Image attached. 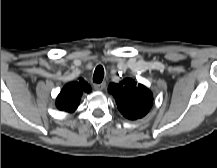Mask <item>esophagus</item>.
Wrapping results in <instances>:
<instances>
[{
    "label": "esophagus",
    "instance_id": "obj_1",
    "mask_svg": "<svg viewBox=\"0 0 217 168\" xmlns=\"http://www.w3.org/2000/svg\"><path fill=\"white\" fill-rule=\"evenodd\" d=\"M105 87H106L105 82L94 84V89L97 90V91H102Z\"/></svg>",
    "mask_w": 217,
    "mask_h": 168
}]
</instances>
